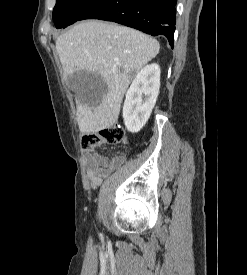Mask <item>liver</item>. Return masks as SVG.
Segmentation results:
<instances>
[{"mask_svg": "<svg viewBox=\"0 0 247 275\" xmlns=\"http://www.w3.org/2000/svg\"><path fill=\"white\" fill-rule=\"evenodd\" d=\"M56 49L67 79L85 71L98 74L105 84L87 102L76 100V120L84 134L110 128L117 120L123 96L136 71L151 61L159 42L135 29L98 20L72 27L56 39Z\"/></svg>", "mask_w": 247, "mask_h": 275, "instance_id": "liver-1", "label": "liver"}]
</instances>
